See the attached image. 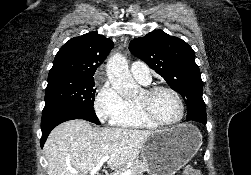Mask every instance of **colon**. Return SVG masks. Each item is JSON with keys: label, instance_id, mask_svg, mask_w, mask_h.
Wrapping results in <instances>:
<instances>
[{"label": "colon", "instance_id": "5ec220e1", "mask_svg": "<svg viewBox=\"0 0 251 175\" xmlns=\"http://www.w3.org/2000/svg\"><path fill=\"white\" fill-rule=\"evenodd\" d=\"M183 175H202L201 172L192 165L183 168Z\"/></svg>", "mask_w": 251, "mask_h": 175}]
</instances>
